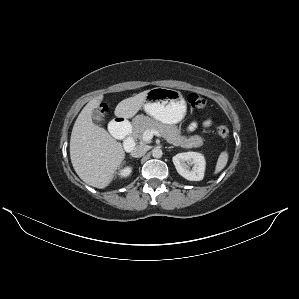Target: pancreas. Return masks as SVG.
Returning <instances> with one entry per match:
<instances>
[{
	"instance_id": "1",
	"label": "pancreas",
	"mask_w": 299,
	"mask_h": 299,
	"mask_svg": "<svg viewBox=\"0 0 299 299\" xmlns=\"http://www.w3.org/2000/svg\"><path fill=\"white\" fill-rule=\"evenodd\" d=\"M133 136L142 139L146 130H157L167 142L174 146L183 148H198L203 145V138L198 135L186 137L181 135L180 129L176 125H166L152 118L140 116L133 123Z\"/></svg>"
}]
</instances>
